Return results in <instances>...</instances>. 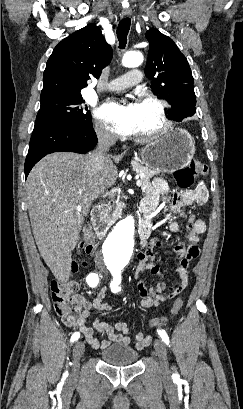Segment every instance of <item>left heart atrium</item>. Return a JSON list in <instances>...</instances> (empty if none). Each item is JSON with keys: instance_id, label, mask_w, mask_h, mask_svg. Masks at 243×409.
Masks as SVG:
<instances>
[{"instance_id": "1", "label": "left heart atrium", "mask_w": 243, "mask_h": 409, "mask_svg": "<svg viewBox=\"0 0 243 409\" xmlns=\"http://www.w3.org/2000/svg\"><path fill=\"white\" fill-rule=\"evenodd\" d=\"M99 117L118 134H134L137 125L136 103H108L98 111Z\"/></svg>"}]
</instances>
